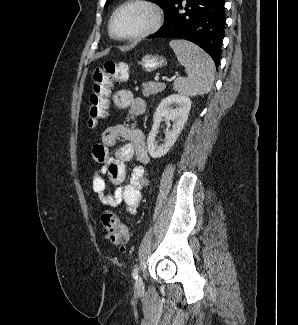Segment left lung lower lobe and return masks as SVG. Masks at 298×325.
Here are the masks:
<instances>
[{
  "label": "left lung lower lobe",
  "instance_id": "1",
  "mask_svg": "<svg viewBox=\"0 0 298 325\" xmlns=\"http://www.w3.org/2000/svg\"><path fill=\"white\" fill-rule=\"evenodd\" d=\"M172 0L164 25L149 38H180L204 49L218 67L224 37V0ZM185 10L182 12L181 10Z\"/></svg>",
  "mask_w": 298,
  "mask_h": 325
}]
</instances>
